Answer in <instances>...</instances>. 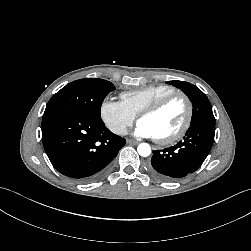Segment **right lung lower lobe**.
Wrapping results in <instances>:
<instances>
[{
  "label": "right lung lower lobe",
  "instance_id": "right-lung-lower-lobe-1",
  "mask_svg": "<svg viewBox=\"0 0 251 251\" xmlns=\"http://www.w3.org/2000/svg\"><path fill=\"white\" fill-rule=\"evenodd\" d=\"M42 141L52 165L79 182L100 177L125 145L100 117L53 112L43 115Z\"/></svg>",
  "mask_w": 251,
  "mask_h": 251
}]
</instances>
